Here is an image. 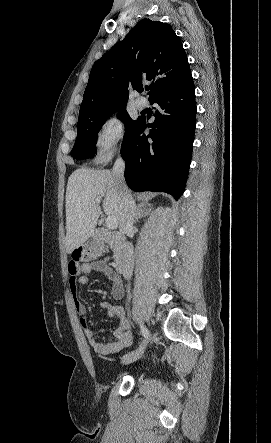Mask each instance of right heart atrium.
<instances>
[{
  "label": "right heart atrium",
  "mask_w": 271,
  "mask_h": 443,
  "mask_svg": "<svg viewBox=\"0 0 271 443\" xmlns=\"http://www.w3.org/2000/svg\"><path fill=\"white\" fill-rule=\"evenodd\" d=\"M125 135L123 120L117 115L105 118L94 137L93 152L96 159L112 157L121 147Z\"/></svg>",
  "instance_id": "obj_1"
}]
</instances>
